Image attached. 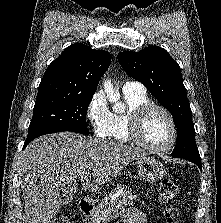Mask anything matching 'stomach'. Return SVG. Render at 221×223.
Segmentation results:
<instances>
[{"mask_svg": "<svg viewBox=\"0 0 221 223\" xmlns=\"http://www.w3.org/2000/svg\"><path fill=\"white\" fill-rule=\"evenodd\" d=\"M137 172L148 182H157L166 174L163 164L152 156H143L137 161Z\"/></svg>", "mask_w": 221, "mask_h": 223, "instance_id": "0dacf381", "label": "stomach"}]
</instances>
